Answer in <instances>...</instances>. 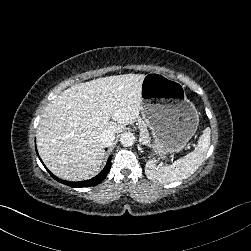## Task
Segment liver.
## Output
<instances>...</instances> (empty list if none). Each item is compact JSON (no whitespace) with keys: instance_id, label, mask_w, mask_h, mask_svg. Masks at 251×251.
Instances as JSON below:
<instances>
[{"instance_id":"liver-1","label":"liver","mask_w":251,"mask_h":251,"mask_svg":"<svg viewBox=\"0 0 251 251\" xmlns=\"http://www.w3.org/2000/svg\"><path fill=\"white\" fill-rule=\"evenodd\" d=\"M144 78L132 73L97 78L53 99L37 128L38 152L47 168L69 181L98 174L105 157L101 134H118L139 118Z\"/></svg>"}]
</instances>
